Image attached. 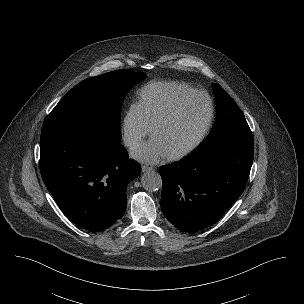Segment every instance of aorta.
Segmentation results:
<instances>
[{"mask_svg":"<svg viewBox=\"0 0 304 304\" xmlns=\"http://www.w3.org/2000/svg\"><path fill=\"white\" fill-rule=\"evenodd\" d=\"M141 183L145 190L153 192L162 187V178L158 172L148 171L142 175Z\"/></svg>","mask_w":304,"mask_h":304,"instance_id":"aorta-1","label":"aorta"}]
</instances>
